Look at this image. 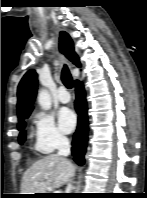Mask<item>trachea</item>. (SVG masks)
<instances>
[{
	"label": "trachea",
	"mask_w": 147,
	"mask_h": 198,
	"mask_svg": "<svg viewBox=\"0 0 147 198\" xmlns=\"http://www.w3.org/2000/svg\"><path fill=\"white\" fill-rule=\"evenodd\" d=\"M61 79L63 84L68 88L71 89L73 87V81L71 73L66 65H64L61 73Z\"/></svg>",
	"instance_id": "trachea-1"
}]
</instances>
